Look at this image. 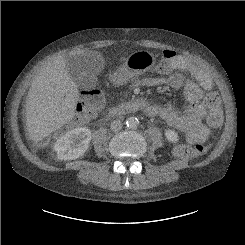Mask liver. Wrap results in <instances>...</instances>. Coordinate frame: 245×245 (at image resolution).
Masks as SVG:
<instances>
[{
	"instance_id": "obj_1",
	"label": "liver",
	"mask_w": 245,
	"mask_h": 245,
	"mask_svg": "<svg viewBox=\"0 0 245 245\" xmlns=\"http://www.w3.org/2000/svg\"><path fill=\"white\" fill-rule=\"evenodd\" d=\"M71 51L48 62L33 79L26 98L29 138L41 141L70 122L78 101V87L67 68V58L84 54Z\"/></svg>"
}]
</instances>
